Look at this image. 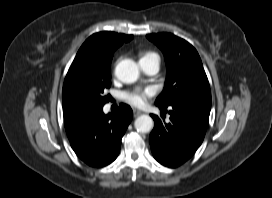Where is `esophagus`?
<instances>
[{"label": "esophagus", "mask_w": 272, "mask_h": 198, "mask_svg": "<svg viewBox=\"0 0 272 198\" xmlns=\"http://www.w3.org/2000/svg\"><path fill=\"white\" fill-rule=\"evenodd\" d=\"M133 114H134V117H138L140 116L141 114H143L142 111L138 110V109H133Z\"/></svg>", "instance_id": "esophagus-1"}]
</instances>
